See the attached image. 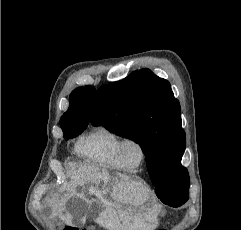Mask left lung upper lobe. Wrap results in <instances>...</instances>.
<instances>
[{"mask_svg":"<svg viewBox=\"0 0 241 230\" xmlns=\"http://www.w3.org/2000/svg\"><path fill=\"white\" fill-rule=\"evenodd\" d=\"M181 110L170 83L149 69L101 86L95 96L91 124L137 142L145 156L158 198L170 206L188 199L189 174L181 165L185 132Z\"/></svg>","mask_w":241,"mask_h":230,"instance_id":"1","label":"left lung upper lobe"}]
</instances>
